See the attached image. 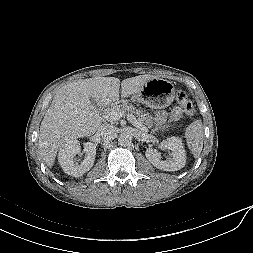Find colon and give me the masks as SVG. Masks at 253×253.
I'll return each mask as SVG.
<instances>
[{
	"instance_id": "colon-1",
	"label": "colon",
	"mask_w": 253,
	"mask_h": 253,
	"mask_svg": "<svg viewBox=\"0 0 253 253\" xmlns=\"http://www.w3.org/2000/svg\"><path fill=\"white\" fill-rule=\"evenodd\" d=\"M176 100L186 115L193 116L195 114L194 106L185 91L179 90L176 94Z\"/></svg>"
}]
</instances>
